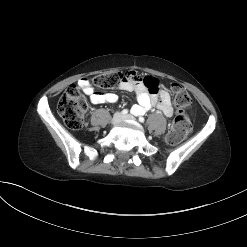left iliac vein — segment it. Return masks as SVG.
Wrapping results in <instances>:
<instances>
[{
    "label": "left iliac vein",
    "instance_id": "left-iliac-vein-1",
    "mask_svg": "<svg viewBox=\"0 0 247 247\" xmlns=\"http://www.w3.org/2000/svg\"><path fill=\"white\" fill-rule=\"evenodd\" d=\"M123 119L124 120H134L135 118L131 114H128V115L123 116Z\"/></svg>",
    "mask_w": 247,
    "mask_h": 247
}]
</instances>
